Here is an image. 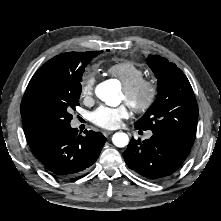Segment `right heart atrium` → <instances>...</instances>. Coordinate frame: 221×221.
<instances>
[{"label":"right heart atrium","instance_id":"1","mask_svg":"<svg viewBox=\"0 0 221 221\" xmlns=\"http://www.w3.org/2000/svg\"><path fill=\"white\" fill-rule=\"evenodd\" d=\"M96 75L93 71L83 74L80 81V95L83 99H88L93 95Z\"/></svg>","mask_w":221,"mask_h":221}]
</instances>
